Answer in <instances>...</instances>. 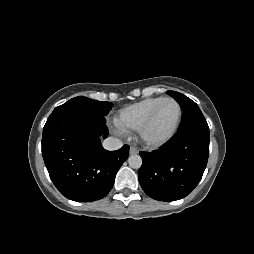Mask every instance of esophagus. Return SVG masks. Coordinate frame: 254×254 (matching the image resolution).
<instances>
[{
  "label": "esophagus",
  "mask_w": 254,
  "mask_h": 254,
  "mask_svg": "<svg viewBox=\"0 0 254 254\" xmlns=\"http://www.w3.org/2000/svg\"><path fill=\"white\" fill-rule=\"evenodd\" d=\"M138 152H139L138 149L135 148V147H130V149H129V153H130L131 155L137 154Z\"/></svg>",
  "instance_id": "34e87169"
}]
</instances>
